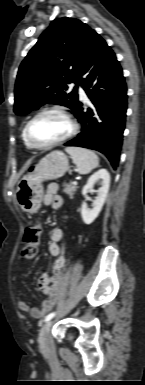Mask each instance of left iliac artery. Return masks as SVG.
I'll use <instances>...</instances> for the list:
<instances>
[{
  "label": "left iliac artery",
  "instance_id": "1",
  "mask_svg": "<svg viewBox=\"0 0 145 385\" xmlns=\"http://www.w3.org/2000/svg\"><path fill=\"white\" fill-rule=\"evenodd\" d=\"M55 312H52V313H50V314H48L46 317H45V319H44V321H49V320H51L54 316H55Z\"/></svg>",
  "mask_w": 145,
  "mask_h": 385
}]
</instances>
